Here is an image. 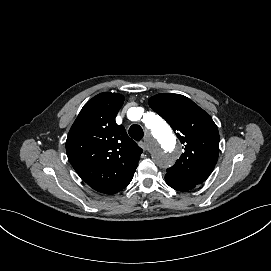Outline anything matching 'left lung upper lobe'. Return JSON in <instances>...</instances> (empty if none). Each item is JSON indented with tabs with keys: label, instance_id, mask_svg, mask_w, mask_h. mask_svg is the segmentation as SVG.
Returning <instances> with one entry per match:
<instances>
[{
	"label": "left lung upper lobe",
	"instance_id": "1",
	"mask_svg": "<svg viewBox=\"0 0 271 271\" xmlns=\"http://www.w3.org/2000/svg\"><path fill=\"white\" fill-rule=\"evenodd\" d=\"M148 103L185 145V152L166 174L203 183L213 171L219 154V132L212 118L192 100L179 94H157Z\"/></svg>",
	"mask_w": 271,
	"mask_h": 271
}]
</instances>
